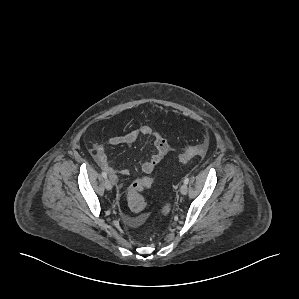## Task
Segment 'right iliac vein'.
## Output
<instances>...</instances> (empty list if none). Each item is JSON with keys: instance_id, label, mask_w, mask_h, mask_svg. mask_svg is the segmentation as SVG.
<instances>
[{"instance_id": "right-iliac-vein-1", "label": "right iliac vein", "mask_w": 299, "mask_h": 299, "mask_svg": "<svg viewBox=\"0 0 299 299\" xmlns=\"http://www.w3.org/2000/svg\"><path fill=\"white\" fill-rule=\"evenodd\" d=\"M104 185L107 190H111L112 189V180L106 179L104 182Z\"/></svg>"}]
</instances>
